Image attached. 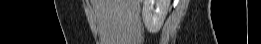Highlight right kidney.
I'll list each match as a JSON object with an SVG mask.
<instances>
[{"label":"right kidney","instance_id":"1","mask_svg":"<svg viewBox=\"0 0 261 44\" xmlns=\"http://www.w3.org/2000/svg\"><path fill=\"white\" fill-rule=\"evenodd\" d=\"M169 5L170 0H144L142 18L145 27L150 33H157L160 30Z\"/></svg>","mask_w":261,"mask_h":44}]
</instances>
